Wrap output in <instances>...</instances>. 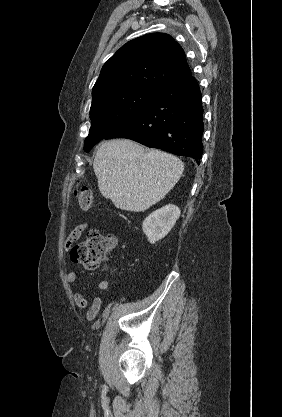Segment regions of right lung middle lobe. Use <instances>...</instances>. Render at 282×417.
<instances>
[{"instance_id":"1","label":"right lung middle lobe","mask_w":282,"mask_h":417,"mask_svg":"<svg viewBox=\"0 0 282 417\" xmlns=\"http://www.w3.org/2000/svg\"><path fill=\"white\" fill-rule=\"evenodd\" d=\"M157 94L155 91L126 89L93 96L90 109L91 128L84 150L90 151L110 132L125 123Z\"/></svg>"}]
</instances>
